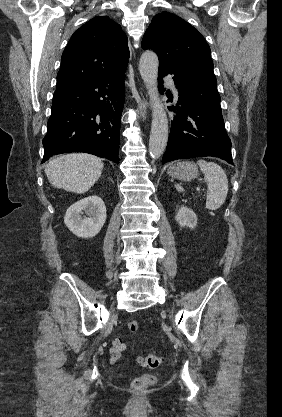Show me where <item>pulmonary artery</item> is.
Here are the masks:
<instances>
[{"label": "pulmonary artery", "instance_id": "obj_1", "mask_svg": "<svg viewBox=\"0 0 282 417\" xmlns=\"http://www.w3.org/2000/svg\"><path fill=\"white\" fill-rule=\"evenodd\" d=\"M161 80H162V81H165V80H166V77H165V76H162V77H161ZM170 84L172 85V82H171V81H170Z\"/></svg>", "mask_w": 282, "mask_h": 417}]
</instances>
